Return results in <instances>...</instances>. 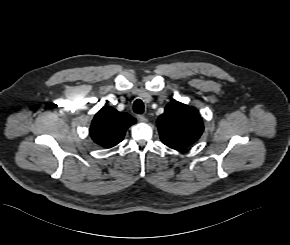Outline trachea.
<instances>
[{"label": "trachea", "instance_id": "obj_1", "mask_svg": "<svg viewBox=\"0 0 290 245\" xmlns=\"http://www.w3.org/2000/svg\"><path fill=\"white\" fill-rule=\"evenodd\" d=\"M133 111L138 114H142L144 112V104L140 99H137L133 104Z\"/></svg>", "mask_w": 290, "mask_h": 245}]
</instances>
